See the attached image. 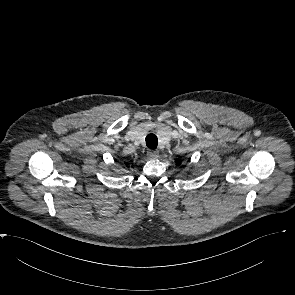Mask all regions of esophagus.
Masks as SVG:
<instances>
[{
	"label": "esophagus",
	"mask_w": 295,
	"mask_h": 295,
	"mask_svg": "<svg viewBox=\"0 0 295 295\" xmlns=\"http://www.w3.org/2000/svg\"><path fill=\"white\" fill-rule=\"evenodd\" d=\"M149 159H156L159 157V152L157 150H151L147 153Z\"/></svg>",
	"instance_id": "obj_1"
}]
</instances>
